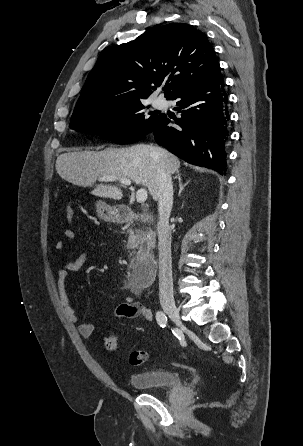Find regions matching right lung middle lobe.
<instances>
[{
    "mask_svg": "<svg viewBox=\"0 0 303 446\" xmlns=\"http://www.w3.org/2000/svg\"><path fill=\"white\" fill-rule=\"evenodd\" d=\"M141 101L103 106L72 116L70 128L92 132L117 144L134 143L149 134L164 114L145 113Z\"/></svg>",
    "mask_w": 303,
    "mask_h": 446,
    "instance_id": "obj_1",
    "label": "right lung middle lobe"
}]
</instances>
